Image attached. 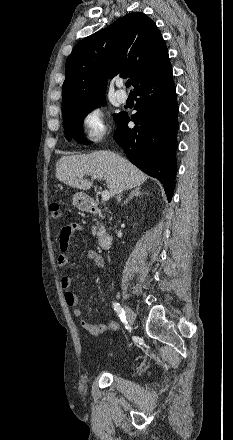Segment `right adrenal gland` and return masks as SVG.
Wrapping results in <instances>:
<instances>
[{"label": "right adrenal gland", "instance_id": "right-adrenal-gland-1", "mask_svg": "<svg viewBox=\"0 0 233 440\" xmlns=\"http://www.w3.org/2000/svg\"><path fill=\"white\" fill-rule=\"evenodd\" d=\"M140 190H141L140 187H136L133 191H131L129 197L124 201V203L122 205L123 206L127 205L133 197H138V196L145 194V193L141 192Z\"/></svg>", "mask_w": 233, "mask_h": 440}]
</instances>
